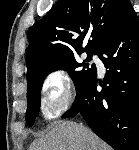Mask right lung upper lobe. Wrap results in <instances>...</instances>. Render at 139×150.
<instances>
[{
    "label": "right lung upper lobe",
    "instance_id": "cb5924a9",
    "mask_svg": "<svg viewBox=\"0 0 139 150\" xmlns=\"http://www.w3.org/2000/svg\"><path fill=\"white\" fill-rule=\"evenodd\" d=\"M131 10L130 0H59L29 31L27 78L74 52H96ZM87 33L91 40L82 48Z\"/></svg>",
    "mask_w": 139,
    "mask_h": 150
}]
</instances>
